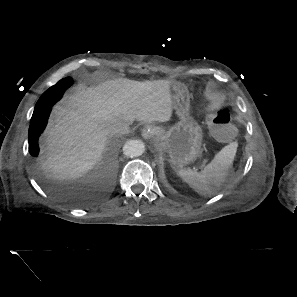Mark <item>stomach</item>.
Here are the masks:
<instances>
[{
  "label": "stomach",
  "mask_w": 297,
  "mask_h": 297,
  "mask_svg": "<svg viewBox=\"0 0 297 297\" xmlns=\"http://www.w3.org/2000/svg\"><path fill=\"white\" fill-rule=\"evenodd\" d=\"M171 90L180 121L168 129L157 128L156 139L162 150L169 154L170 162L183 167L202 155L203 134L198 123L189 117V94L186 87L174 83Z\"/></svg>",
  "instance_id": "obj_1"
}]
</instances>
